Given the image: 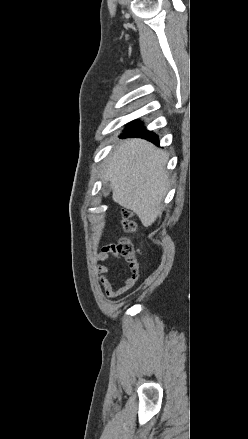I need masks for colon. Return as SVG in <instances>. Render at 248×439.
<instances>
[{"mask_svg":"<svg viewBox=\"0 0 248 439\" xmlns=\"http://www.w3.org/2000/svg\"><path fill=\"white\" fill-rule=\"evenodd\" d=\"M123 219H124L123 224L127 231H133L134 229H136L135 223L131 220L130 211L128 210L123 211ZM116 248L118 252L125 258L127 263H129L131 266L138 265L136 261L137 251L130 240L126 238L121 239L119 243L116 245Z\"/></svg>","mask_w":248,"mask_h":439,"instance_id":"5ec220e1","label":"colon"}]
</instances>
